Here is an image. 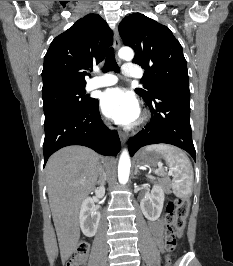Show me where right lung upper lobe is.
Segmentation results:
<instances>
[{"label": "right lung upper lobe", "instance_id": "obj_1", "mask_svg": "<svg viewBox=\"0 0 233 266\" xmlns=\"http://www.w3.org/2000/svg\"><path fill=\"white\" fill-rule=\"evenodd\" d=\"M112 42V31L99 15L78 20L52 41L44 57L43 94L85 87L86 70L104 59Z\"/></svg>", "mask_w": 233, "mask_h": 266}]
</instances>
